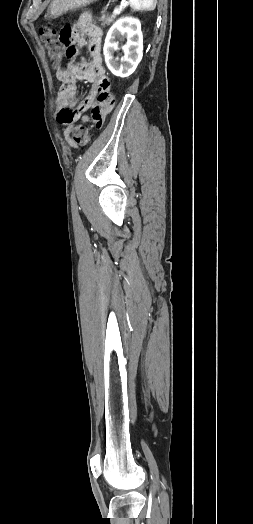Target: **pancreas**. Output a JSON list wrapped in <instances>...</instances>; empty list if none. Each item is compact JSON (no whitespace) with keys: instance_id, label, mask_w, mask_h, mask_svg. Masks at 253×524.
Here are the masks:
<instances>
[{"instance_id":"cf45deb5","label":"pancreas","mask_w":253,"mask_h":524,"mask_svg":"<svg viewBox=\"0 0 253 524\" xmlns=\"http://www.w3.org/2000/svg\"><path fill=\"white\" fill-rule=\"evenodd\" d=\"M115 19V16H108L105 14H102V16L99 18V21L102 23L101 25L103 27L109 26L111 23H113Z\"/></svg>"}]
</instances>
